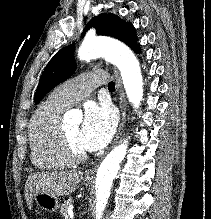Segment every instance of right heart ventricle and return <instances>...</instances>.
Listing matches in <instances>:
<instances>
[{"instance_id":"obj_1","label":"right heart ventricle","mask_w":211,"mask_h":219,"mask_svg":"<svg viewBox=\"0 0 211 219\" xmlns=\"http://www.w3.org/2000/svg\"><path fill=\"white\" fill-rule=\"evenodd\" d=\"M65 107L49 98L39 105L30 120L29 146L33 165L40 170H59L73 165L63 153L58 122Z\"/></svg>"}]
</instances>
